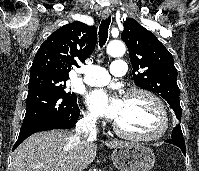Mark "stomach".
Masks as SVG:
<instances>
[{
    "mask_svg": "<svg viewBox=\"0 0 199 171\" xmlns=\"http://www.w3.org/2000/svg\"><path fill=\"white\" fill-rule=\"evenodd\" d=\"M111 159L119 171H150L155 163L153 151L144 144L134 142L117 146Z\"/></svg>",
    "mask_w": 199,
    "mask_h": 171,
    "instance_id": "0dacf381",
    "label": "stomach"
}]
</instances>
